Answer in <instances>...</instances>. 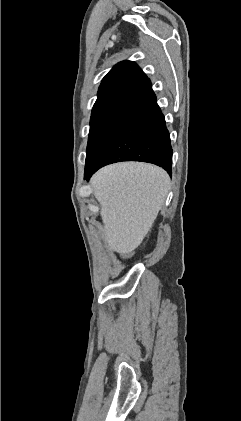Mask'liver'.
I'll list each match as a JSON object with an SVG mask.
<instances>
[{
	"label": "liver",
	"mask_w": 241,
	"mask_h": 421,
	"mask_svg": "<svg viewBox=\"0 0 241 421\" xmlns=\"http://www.w3.org/2000/svg\"><path fill=\"white\" fill-rule=\"evenodd\" d=\"M91 186L101 206L105 242L109 249L128 254L140 245L164 206L170 178L160 167L123 162L100 169Z\"/></svg>",
	"instance_id": "liver-1"
}]
</instances>
